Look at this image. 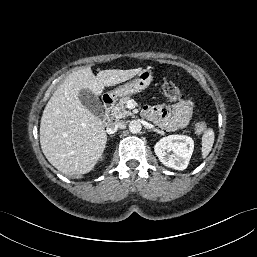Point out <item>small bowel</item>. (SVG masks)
I'll list each match as a JSON object with an SVG mask.
<instances>
[{
	"label": "small bowel",
	"mask_w": 257,
	"mask_h": 257,
	"mask_svg": "<svg viewBox=\"0 0 257 257\" xmlns=\"http://www.w3.org/2000/svg\"><path fill=\"white\" fill-rule=\"evenodd\" d=\"M193 102L181 100L172 107L162 105L148 106L145 114L167 131L182 129L188 125L193 115Z\"/></svg>",
	"instance_id": "1"
}]
</instances>
